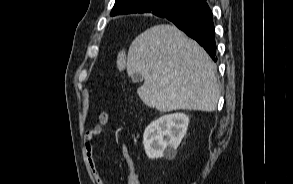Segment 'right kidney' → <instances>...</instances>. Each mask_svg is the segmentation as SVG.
Returning a JSON list of instances; mask_svg holds the SVG:
<instances>
[{
	"mask_svg": "<svg viewBox=\"0 0 293 184\" xmlns=\"http://www.w3.org/2000/svg\"><path fill=\"white\" fill-rule=\"evenodd\" d=\"M188 125L189 117L184 113L164 115L148 125L143 134V145L148 158L173 159Z\"/></svg>",
	"mask_w": 293,
	"mask_h": 184,
	"instance_id": "ca27d5eb",
	"label": "right kidney"
}]
</instances>
